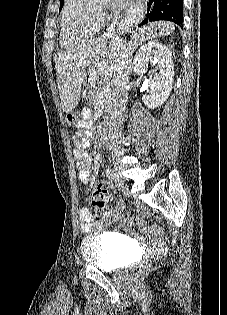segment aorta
I'll use <instances>...</instances> for the list:
<instances>
[{
    "mask_svg": "<svg viewBox=\"0 0 227 315\" xmlns=\"http://www.w3.org/2000/svg\"><path fill=\"white\" fill-rule=\"evenodd\" d=\"M85 1L91 4H104L107 0H85Z\"/></svg>",
    "mask_w": 227,
    "mask_h": 315,
    "instance_id": "762f6f07",
    "label": "aorta"
}]
</instances>
